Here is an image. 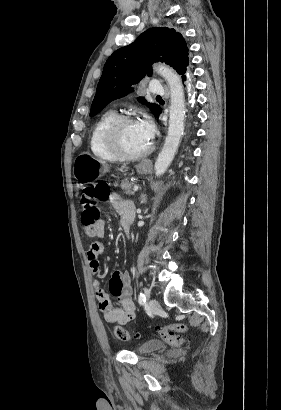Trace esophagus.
Here are the masks:
<instances>
[{
  "mask_svg": "<svg viewBox=\"0 0 281 410\" xmlns=\"http://www.w3.org/2000/svg\"><path fill=\"white\" fill-rule=\"evenodd\" d=\"M144 165H148V163H143Z\"/></svg>",
  "mask_w": 281,
  "mask_h": 410,
  "instance_id": "esophagus-1",
  "label": "esophagus"
}]
</instances>
